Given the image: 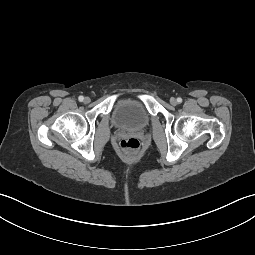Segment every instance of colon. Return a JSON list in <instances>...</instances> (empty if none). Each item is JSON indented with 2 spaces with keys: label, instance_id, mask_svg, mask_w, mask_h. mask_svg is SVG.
I'll return each mask as SVG.
<instances>
[{
  "label": "colon",
  "instance_id": "5ec220e1",
  "mask_svg": "<svg viewBox=\"0 0 255 255\" xmlns=\"http://www.w3.org/2000/svg\"><path fill=\"white\" fill-rule=\"evenodd\" d=\"M122 151L127 155H134L140 148V142L135 137H125L120 141Z\"/></svg>",
  "mask_w": 255,
  "mask_h": 255
}]
</instances>
